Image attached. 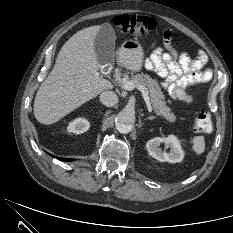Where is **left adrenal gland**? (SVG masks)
<instances>
[{"mask_svg": "<svg viewBox=\"0 0 233 233\" xmlns=\"http://www.w3.org/2000/svg\"><path fill=\"white\" fill-rule=\"evenodd\" d=\"M154 119H155V117H152V116L145 118V120H154Z\"/></svg>", "mask_w": 233, "mask_h": 233, "instance_id": "1", "label": "left adrenal gland"}]
</instances>
